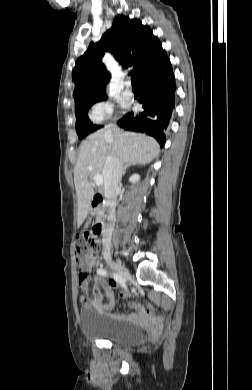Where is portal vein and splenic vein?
Listing matches in <instances>:
<instances>
[{"mask_svg": "<svg viewBox=\"0 0 252 390\" xmlns=\"http://www.w3.org/2000/svg\"><path fill=\"white\" fill-rule=\"evenodd\" d=\"M88 168V170H92V167H87ZM93 180H94V183L97 185V186H101L102 184H103V177L100 175V174H98V175H95L94 177H93Z\"/></svg>", "mask_w": 252, "mask_h": 390, "instance_id": "1", "label": "portal vein and splenic vein"}]
</instances>
